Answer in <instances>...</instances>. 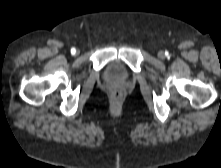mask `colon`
<instances>
[{
    "label": "colon",
    "mask_w": 221,
    "mask_h": 168,
    "mask_svg": "<svg viewBox=\"0 0 221 168\" xmlns=\"http://www.w3.org/2000/svg\"><path fill=\"white\" fill-rule=\"evenodd\" d=\"M113 97H114V99L115 100H120V98H121V94L119 93V92H115L114 94H113Z\"/></svg>",
    "instance_id": "obj_1"
}]
</instances>
